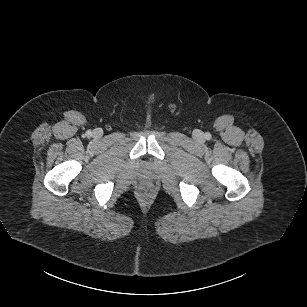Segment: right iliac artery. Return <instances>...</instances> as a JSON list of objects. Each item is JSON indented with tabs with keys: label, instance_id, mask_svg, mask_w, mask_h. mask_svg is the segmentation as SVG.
Returning <instances> with one entry per match:
<instances>
[{
	"label": "right iliac artery",
	"instance_id": "82829eb1",
	"mask_svg": "<svg viewBox=\"0 0 307 307\" xmlns=\"http://www.w3.org/2000/svg\"><path fill=\"white\" fill-rule=\"evenodd\" d=\"M88 135H91V131L88 132Z\"/></svg>",
	"mask_w": 307,
	"mask_h": 307
}]
</instances>
